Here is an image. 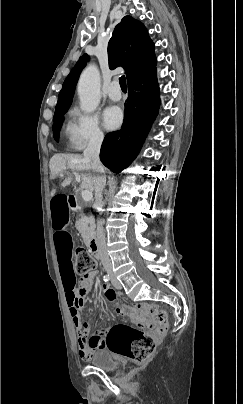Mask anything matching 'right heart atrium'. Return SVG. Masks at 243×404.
<instances>
[{
    "label": "right heart atrium",
    "mask_w": 243,
    "mask_h": 404,
    "mask_svg": "<svg viewBox=\"0 0 243 404\" xmlns=\"http://www.w3.org/2000/svg\"><path fill=\"white\" fill-rule=\"evenodd\" d=\"M65 133L67 146L73 152L100 146L104 140V133L99 126L97 115L84 112L77 106L69 110Z\"/></svg>",
    "instance_id": "obj_1"
}]
</instances>
